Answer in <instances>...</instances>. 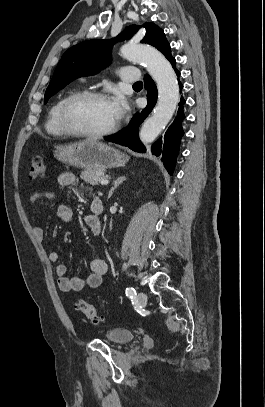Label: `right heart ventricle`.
I'll return each mask as SVG.
<instances>
[{
    "label": "right heart ventricle",
    "instance_id": "e07e8e85",
    "mask_svg": "<svg viewBox=\"0 0 265 407\" xmlns=\"http://www.w3.org/2000/svg\"><path fill=\"white\" fill-rule=\"evenodd\" d=\"M75 92H76L75 90L67 92L66 94L58 98L57 101L51 106L45 123V129L49 134L59 137L69 135L61 127L59 113L64 101Z\"/></svg>",
    "mask_w": 265,
    "mask_h": 407
}]
</instances>
